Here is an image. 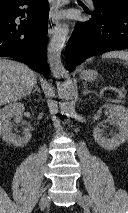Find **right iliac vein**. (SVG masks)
<instances>
[{"label":"right iliac vein","instance_id":"63e3f726","mask_svg":"<svg viewBox=\"0 0 128 213\" xmlns=\"http://www.w3.org/2000/svg\"><path fill=\"white\" fill-rule=\"evenodd\" d=\"M49 204V199L46 194H43L40 201H39V208H44Z\"/></svg>","mask_w":128,"mask_h":213}]
</instances>
